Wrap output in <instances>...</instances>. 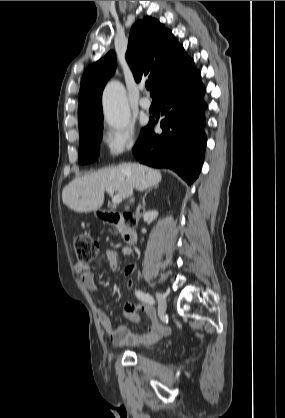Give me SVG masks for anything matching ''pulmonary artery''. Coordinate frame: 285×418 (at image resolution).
I'll list each match as a JSON object with an SVG mask.
<instances>
[{
    "label": "pulmonary artery",
    "mask_w": 285,
    "mask_h": 418,
    "mask_svg": "<svg viewBox=\"0 0 285 418\" xmlns=\"http://www.w3.org/2000/svg\"><path fill=\"white\" fill-rule=\"evenodd\" d=\"M141 91L143 92V93H145V88H142L141 89ZM139 106L143 109V110H149L150 109V107H151V100L148 98V97H146V96H143V97H141L140 98V100H139Z\"/></svg>",
    "instance_id": "obj_1"
}]
</instances>
